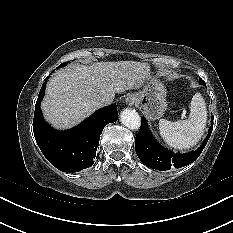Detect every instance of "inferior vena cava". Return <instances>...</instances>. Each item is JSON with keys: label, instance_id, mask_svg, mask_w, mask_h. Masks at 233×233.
Wrapping results in <instances>:
<instances>
[{"label": "inferior vena cava", "instance_id": "inferior-vena-cava-1", "mask_svg": "<svg viewBox=\"0 0 233 233\" xmlns=\"http://www.w3.org/2000/svg\"><path fill=\"white\" fill-rule=\"evenodd\" d=\"M112 98L110 97H101L99 100H98V104L99 106H106V105H109L111 102H112Z\"/></svg>", "mask_w": 233, "mask_h": 233}]
</instances>
